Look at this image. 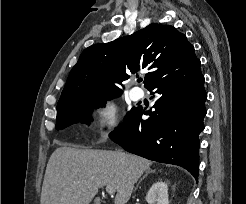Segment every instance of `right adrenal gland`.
I'll return each instance as SVG.
<instances>
[{"label": "right adrenal gland", "instance_id": "obj_1", "mask_svg": "<svg viewBox=\"0 0 246 204\" xmlns=\"http://www.w3.org/2000/svg\"><path fill=\"white\" fill-rule=\"evenodd\" d=\"M155 172H156V170H152V169L148 168V169L146 170V172H145V175L139 180V182H138V184H137L135 190L138 188V186L140 185L141 181H142L149 173H155Z\"/></svg>", "mask_w": 246, "mask_h": 204}]
</instances>
